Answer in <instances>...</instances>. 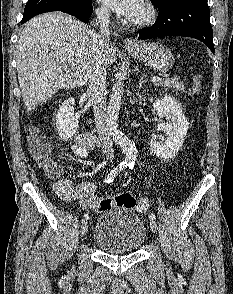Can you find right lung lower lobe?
<instances>
[{
	"label": "right lung lower lobe",
	"mask_w": 233,
	"mask_h": 294,
	"mask_svg": "<svg viewBox=\"0 0 233 294\" xmlns=\"http://www.w3.org/2000/svg\"><path fill=\"white\" fill-rule=\"evenodd\" d=\"M64 13H68L76 18L80 19L81 21L87 23L90 16L93 12L92 1L91 0H82L78 4L71 6L66 9L58 10ZM24 23V22H22Z\"/></svg>",
	"instance_id": "right-lung-lower-lobe-1"
}]
</instances>
